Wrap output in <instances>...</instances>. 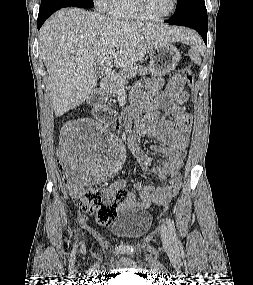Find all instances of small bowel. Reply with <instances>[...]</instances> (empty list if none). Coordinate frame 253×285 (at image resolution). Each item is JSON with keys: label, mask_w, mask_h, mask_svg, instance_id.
<instances>
[{"label": "small bowel", "mask_w": 253, "mask_h": 285, "mask_svg": "<svg viewBox=\"0 0 253 285\" xmlns=\"http://www.w3.org/2000/svg\"><path fill=\"white\" fill-rule=\"evenodd\" d=\"M163 87L160 96L153 101L145 100ZM188 99L189 93L184 89V79L179 75H174L166 84L162 79H145L132 89L130 107L126 114L135 119L136 127L129 134L128 148L142 170L156 174L165 184L161 188H155L136 182L134 188L138 194L129 193L127 200L117 208H147L151 204L163 206L177 195L181 187L180 170L186 155L192 124L191 115L184 109ZM163 109H170L171 119L160 120ZM109 113L112 114V118H107L109 125L120 126L119 118L122 114L117 113V109H110ZM144 135L159 141L160 144L153 145L151 149L162 156L161 160H154L139 149L138 139ZM68 150L70 151L69 147ZM125 186L124 180H119L113 185L115 188Z\"/></svg>", "instance_id": "obj_1"}]
</instances>
